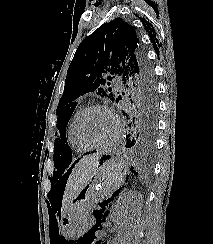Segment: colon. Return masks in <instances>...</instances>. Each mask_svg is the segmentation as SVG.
Listing matches in <instances>:
<instances>
[{"label": "colon", "mask_w": 213, "mask_h": 244, "mask_svg": "<svg viewBox=\"0 0 213 244\" xmlns=\"http://www.w3.org/2000/svg\"><path fill=\"white\" fill-rule=\"evenodd\" d=\"M97 244H106L105 242L99 241Z\"/></svg>", "instance_id": "5ec220e1"}]
</instances>
